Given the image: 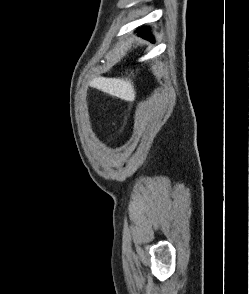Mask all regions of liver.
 Masks as SVG:
<instances>
[{"instance_id": "1", "label": "liver", "mask_w": 249, "mask_h": 294, "mask_svg": "<svg viewBox=\"0 0 249 294\" xmlns=\"http://www.w3.org/2000/svg\"><path fill=\"white\" fill-rule=\"evenodd\" d=\"M92 84L97 89L124 100L135 98V89L129 78H104L93 79Z\"/></svg>"}]
</instances>
